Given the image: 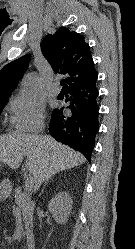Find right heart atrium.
Returning <instances> with one entry per match:
<instances>
[{
  "label": "right heart atrium",
  "mask_w": 135,
  "mask_h": 249,
  "mask_svg": "<svg viewBox=\"0 0 135 249\" xmlns=\"http://www.w3.org/2000/svg\"><path fill=\"white\" fill-rule=\"evenodd\" d=\"M11 123L17 133H35L44 126L45 112L41 103L21 95L9 103Z\"/></svg>",
  "instance_id": "1"
}]
</instances>
